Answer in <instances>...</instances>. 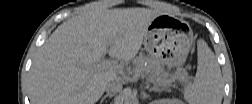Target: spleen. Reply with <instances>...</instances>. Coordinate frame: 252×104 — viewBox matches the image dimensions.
<instances>
[{
    "mask_svg": "<svg viewBox=\"0 0 252 104\" xmlns=\"http://www.w3.org/2000/svg\"><path fill=\"white\" fill-rule=\"evenodd\" d=\"M197 46V72L193 83L184 89V99L190 104H220L223 96L220 66L204 40H199Z\"/></svg>",
    "mask_w": 252,
    "mask_h": 104,
    "instance_id": "spleen-1",
    "label": "spleen"
}]
</instances>
